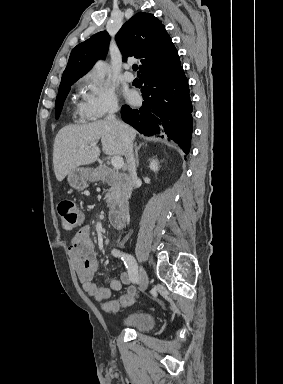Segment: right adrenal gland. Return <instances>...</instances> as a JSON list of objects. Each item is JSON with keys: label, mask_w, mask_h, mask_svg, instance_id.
<instances>
[{"label": "right adrenal gland", "mask_w": 283, "mask_h": 384, "mask_svg": "<svg viewBox=\"0 0 283 384\" xmlns=\"http://www.w3.org/2000/svg\"><path fill=\"white\" fill-rule=\"evenodd\" d=\"M141 146H144V144H140V146H137V142H135V144H134V148H135V158H136V166H137V168H138V166H139L138 150H140Z\"/></svg>", "instance_id": "obj_1"}]
</instances>
